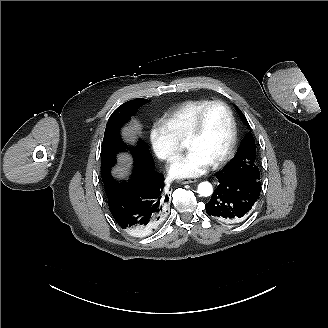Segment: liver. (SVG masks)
Listing matches in <instances>:
<instances>
[{"label":"liver","mask_w":328,"mask_h":328,"mask_svg":"<svg viewBox=\"0 0 328 328\" xmlns=\"http://www.w3.org/2000/svg\"><path fill=\"white\" fill-rule=\"evenodd\" d=\"M137 127H139V126H137ZM130 132H132V131H131V130H128V131L126 132V135H129ZM124 161L126 162L127 160L125 159ZM117 173H118L119 175H122V174H123V169H120Z\"/></svg>","instance_id":"6515ba94"}]
</instances>
